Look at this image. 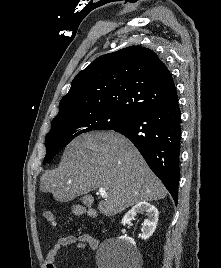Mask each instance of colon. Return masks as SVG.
<instances>
[{"label":"colon","mask_w":221,"mask_h":268,"mask_svg":"<svg viewBox=\"0 0 221 268\" xmlns=\"http://www.w3.org/2000/svg\"><path fill=\"white\" fill-rule=\"evenodd\" d=\"M42 217L49 222L51 225L55 226L56 225V220H55V216L54 214L48 210V209H44L42 211Z\"/></svg>","instance_id":"1"}]
</instances>
